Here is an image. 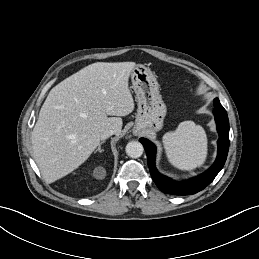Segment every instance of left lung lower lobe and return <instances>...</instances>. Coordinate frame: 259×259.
<instances>
[{"instance_id": "1", "label": "left lung lower lobe", "mask_w": 259, "mask_h": 259, "mask_svg": "<svg viewBox=\"0 0 259 259\" xmlns=\"http://www.w3.org/2000/svg\"><path fill=\"white\" fill-rule=\"evenodd\" d=\"M213 113L219 134L217 158L213 166L205 173L188 181L176 182L166 176L161 175L155 167V146L148 139H139L147 154V163L152 179L162 192L172 195L195 194L207 187L223 168L229 150V120L227 112L220 104L218 98L214 99Z\"/></svg>"}]
</instances>
